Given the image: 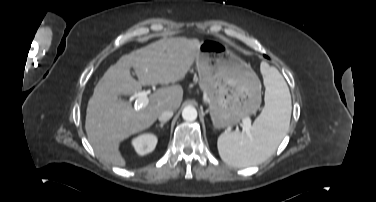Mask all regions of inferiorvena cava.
Masks as SVG:
<instances>
[{
    "instance_id": "1",
    "label": "inferior vena cava",
    "mask_w": 376,
    "mask_h": 202,
    "mask_svg": "<svg viewBox=\"0 0 376 202\" xmlns=\"http://www.w3.org/2000/svg\"><path fill=\"white\" fill-rule=\"evenodd\" d=\"M173 116V110L167 109L162 112V114L158 117L159 121L161 122H167L169 119H171Z\"/></svg>"
}]
</instances>
